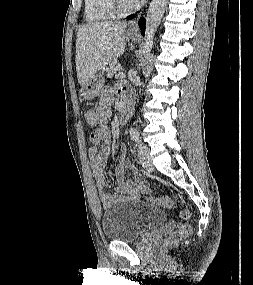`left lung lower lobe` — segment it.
Instances as JSON below:
<instances>
[{
	"mask_svg": "<svg viewBox=\"0 0 253 285\" xmlns=\"http://www.w3.org/2000/svg\"><path fill=\"white\" fill-rule=\"evenodd\" d=\"M134 18V14L130 15L127 17V19H133ZM139 27L141 29L142 34H145V19L141 18V20L139 21Z\"/></svg>",
	"mask_w": 253,
	"mask_h": 285,
	"instance_id": "1",
	"label": "left lung lower lobe"
}]
</instances>
